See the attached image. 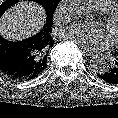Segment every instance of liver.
I'll list each match as a JSON object with an SVG mask.
<instances>
[{"mask_svg": "<svg viewBox=\"0 0 118 118\" xmlns=\"http://www.w3.org/2000/svg\"><path fill=\"white\" fill-rule=\"evenodd\" d=\"M42 7L21 2L9 9L0 20V34L6 39L21 40L37 33L44 24Z\"/></svg>", "mask_w": 118, "mask_h": 118, "instance_id": "obj_1", "label": "liver"}]
</instances>
